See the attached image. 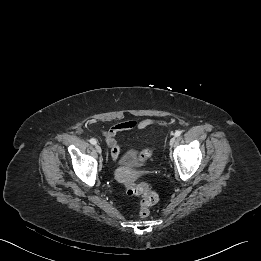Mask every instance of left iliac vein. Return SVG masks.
Wrapping results in <instances>:
<instances>
[{
    "mask_svg": "<svg viewBox=\"0 0 261 261\" xmlns=\"http://www.w3.org/2000/svg\"><path fill=\"white\" fill-rule=\"evenodd\" d=\"M174 143H175V137H171V139L169 141L170 146H173Z\"/></svg>",
    "mask_w": 261,
    "mask_h": 261,
    "instance_id": "4c4485c4",
    "label": "left iliac vein"
}]
</instances>
